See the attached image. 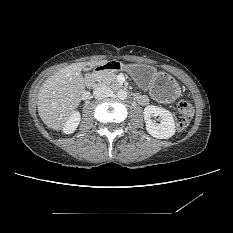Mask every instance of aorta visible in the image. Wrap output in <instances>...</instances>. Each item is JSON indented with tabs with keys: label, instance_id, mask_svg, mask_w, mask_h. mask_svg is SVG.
<instances>
[{
	"label": "aorta",
	"instance_id": "aorta-1",
	"mask_svg": "<svg viewBox=\"0 0 233 233\" xmlns=\"http://www.w3.org/2000/svg\"><path fill=\"white\" fill-rule=\"evenodd\" d=\"M117 97L120 99V100H124L127 98V91L124 90V89H120L118 92H117Z\"/></svg>",
	"mask_w": 233,
	"mask_h": 233
}]
</instances>
